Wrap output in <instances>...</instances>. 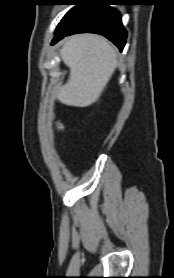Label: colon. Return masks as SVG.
<instances>
[{
    "label": "colon",
    "mask_w": 174,
    "mask_h": 278,
    "mask_svg": "<svg viewBox=\"0 0 174 278\" xmlns=\"http://www.w3.org/2000/svg\"><path fill=\"white\" fill-rule=\"evenodd\" d=\"M56 127H57L58 130L62 129V126H61L60 123H57Z\"/></svg>",
    "instance_id": "colon-1"
}]
</instances>
